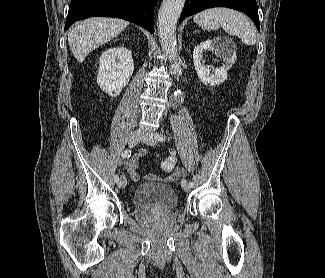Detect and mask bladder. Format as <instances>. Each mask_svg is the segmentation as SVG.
<instances>
[{
	"instance_id": "1",
	"label": "bladder",
	"mask_w": 325,
	"mask_h": 278,
	"mask_svg": "<svg viewBox=\"0 0 325 278\" xmlns=\"http://www.w3.org/2000/svg\"><path fill=\"white\" fill-rule=\"evenodd\" d=\"M133 203L140 209L173 210L178 206V196L171 185L142 183L134 192Z\"/></svg>"
}]
</instances>
